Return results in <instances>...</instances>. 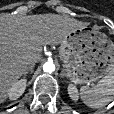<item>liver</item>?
Listing matches in <instances>:
<instances>
[{"label":"liver","instance_id":"1","mask_svg":"<svg viewBox=\"0 0 114 114\" xmlns=\"http://www.w3.org/2000/svg\"><path fill=\"white\" fill-rule=\"evenodd\" d=\"M87 24L55 14L0 18V103L9 89L41 58L43 45H58Z\"/></svg>","mask_w":114,"mask_h":114}]
</instances>
